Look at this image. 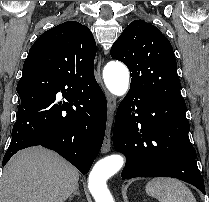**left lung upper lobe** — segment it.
Wrapping results in <instances>:
<instances>
[{
    "mask_svg": "<svg viewBox=\"0 0 209 202\" xmlns=\"http://www.w3.org/2000/svg\"><path fill=\"white\" fill-rule=\"evenodd\" d=\"M131 74L130 90L152 98L185 103L173 48L160 30L144 20L130 23L111 48Z\"/></svg>",
    "mask_w": 209,
    "mask_h": 202,
    "instance_id": "5c2ea615",
    "label": "left lung upper lobe"
}]
</instances>
